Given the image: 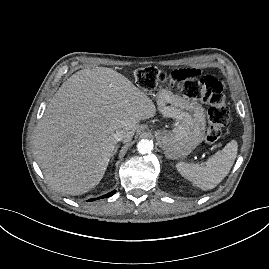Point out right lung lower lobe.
I'll use <instances>...</instances> for the list:
<instances>
[{
	"instance_id": "98d812e1",
	"label": "right lung lower lobe",
	"mask_w": 269,
	"mask_h": 269,
	"mask_svg": "<svg viewBox=\"0 0 269 269\" xmlns=\"http://www.w3.org/2000/svg\"><path fill=\"white\" fill-rule=\"evenodd\" d=\"M115 192H116V191L114 190V191H112V192H110V193H108V194H106V195H104V196H102V197H100V198H108V197L112 196ZM100 198H99V199H100ZM93 200H95V199H90V201H93Z\"/></svg>"
}]
</instances>
